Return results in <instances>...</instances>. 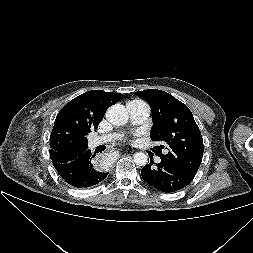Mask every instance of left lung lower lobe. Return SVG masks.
<instances>
[{
  "label": "left lung lower lobe",
  "instance_id": "obj_1",
  "mask_svg": "<svg viewBox=\"0 0 253 253\" xmlns=\"http://www.w3.org/2000/svg\"><path fill=\"white\" fill-rule=\"evenodd\" d=\"M152 159L146 164L141 175L143 179L152 187L159 191L170 193L187 186L192 179L179 172L175 167L161 160L153 165Z\"/></svg>",
  "mask_w": 253,
  "mask_h": 253
}]
</instances>
